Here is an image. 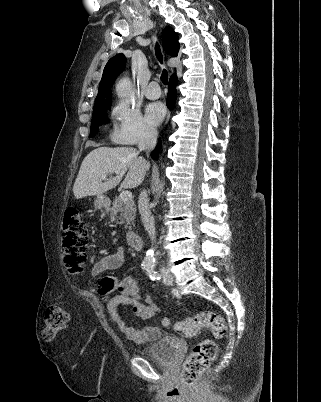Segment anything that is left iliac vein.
Wrapping results in <instances>:
<instances>
[{"instance_id": "4c4485c4", "label": "left iliac vein", "mask_w": 321, "mask_h": 402, "mask_svg": "<svg viewBox=\"0 0 321 402\" xmlns=\"http://www.w3.org/2000/svg\"><path fill=\"white\" fill-rule=\"evenodd\" d=\"M162 277L165 284L170 285L172 283V274L166 268L162 269Z\"/></svg>"}]
</instances>
